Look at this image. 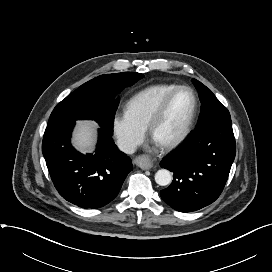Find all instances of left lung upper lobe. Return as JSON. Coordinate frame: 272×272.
Masks as SVG:
<instances>
[{
  "mask_svg": "<svg viewBox=\"0 0 272 272\" xmlns=\"http://www.w3.org/2000/svg\"><path fill=\"white\" fill-rule=\"evenodd\" d=\"M195 85L201 101V112L196 127L222 120L229 119V111L215 97V95L205 85L196 79L192 80Z\"/></svg>",
  "mask_w": 272,
  "mask_h": 272,
  "instance_id": "left-lung-upper-lobe-1",
  "label": "left lung upper lobe"
}]
</instances>
